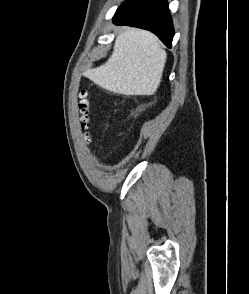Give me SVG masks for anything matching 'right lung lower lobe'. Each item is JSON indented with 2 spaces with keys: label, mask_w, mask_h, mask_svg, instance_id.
<instances>
[{
  "label": "right lung lower lobe",
  "mask_w": 249,
  "mask_h": 294,
  "mask_svg": "<svg viewBox=\"0 0 249 294\" xmlns=\"http://www.w3.org/2000/svg\"><path fill=\"white\" fill-rule=\"evenodd\" d=\"M113 22L152 31L171 47L174 30L166 0H128L118 8Z\"/></svg>",
  "instance_id": "1"
}]
</instances>
